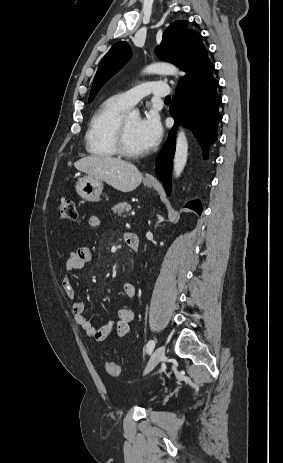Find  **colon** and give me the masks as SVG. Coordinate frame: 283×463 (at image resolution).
Listing matches in <instances>:
<instances>
[{
  "instance_id": "obj_1",
  "label": "colon",
  "mask_w": 283,
  "mask_h": 463,
  "mask_svg": "<svg viewBox=\"0 0 283 463\" xmlns=\"http://www.w3.org/2000/svg\"><path fill=\"white\" fill-rule=\"evenodd\" d=\"M58 214L59 218L62 220H76L78 214L75 202L69 198L62 199L61 204L59 206ZM105 369L110 376H120L121 369L119 365L113 361H107L105 363Z\"/></svg>"
}]
</instances>
